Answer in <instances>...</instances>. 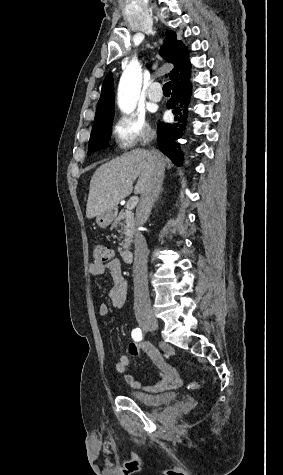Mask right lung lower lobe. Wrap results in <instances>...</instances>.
Segmentation results:
<instances>
[{"mask_svg": "<svg viewBox=\"0 0 283 475\" xmlns=\"http://www.w3.org/2000/svg\"><path fill=\"white\" fill-rule=\"evenodd\" d=\"M189 78L190 71L175 79L172 84V97L167 103V107L172 109V112L176 115L175 121H178V123L160 122L157 128L159 149L176 165H180L183 159V153L176 140L182 137L186 129V108L190 100L192 87Z\"/></svg>", "mask_w": 283, "mask_h": 475, "instance_id": "98d812e1", "label": "right lung lower lobe"}]
</instances>
